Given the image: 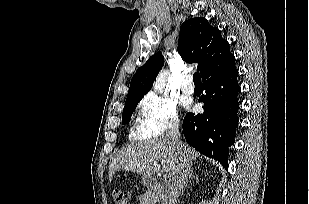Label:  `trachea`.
Listing matches in <instances>:
<instances>
[{
    "label": "trachea",
    "mask_w": 309,
    "mask_h": 204,
    "mask_svg": "<svg viewBox=\"0 0 309 204\" xmlns=\"http://www.w3.org/2000/svg\"><path fill=\"white\" fill-rule=\"evenodd\" d=\"M193 80H194L195 85H201V76L199 72L194 73Z\"/></svg>",
    "instance_id": "1"
}]
</instances>
